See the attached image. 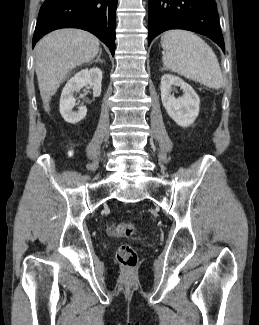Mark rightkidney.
Masks as SVG:
<instances>
[{"instance_id": "ca27d5eb", "label": "right kidney", "mask_w": 259, "mask_h": 325, "mask_svg": "<svg viewBox=\"0 0 259 325\" xmlns=\"http://www.w3.org/2000/svg\"><path fill=\"white\" fill-rule=\"evenodd\" d=\"M101 82L102 71L98 67H93L79 71L66 83L60 97V113L66 122L76 124L83 120L87 114L86 106L78 107L77 112L73 111L76 102L74 93L89 85L93 89V96L99 97Z\"/></svg>"}]
</instances>
